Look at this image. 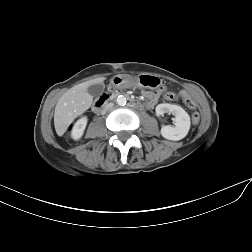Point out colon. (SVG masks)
<instances>
[{
	"label": "colon",
	"mask_w": 252,
	"mask_h": 252,
	"mask_svg": "<svg viewBox=\"0 0 252 252\" xmlns=\"http://www.w3.org/2000/svg\"><path fill=\"white\" fill-rule=\"evenodd\" d=\"M142 83L144 85H148V86H155L156 85V83L153 82L151 78L144 79V81ZM164 96L167 100H175L177 98V96L172 92H167ZM182 100L187 108L194 111L192 113V121L194 124H197L199 122L200 116H199V113L195 111V108H196L195 102L187 96L182 97Z\"/></svg>",
	"instance_id": "colon-1"
}]
</instances>
